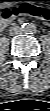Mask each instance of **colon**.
Segmentation results:
<instances>
[{
	"label": "colon",
	"instance_id": "5ec220e1",
	"mask_svg": "<svg viewBox=\"0 0 50 111\" xmlns=\"http://www.w3.org/2000/svg\"><path fill=\"white\" fill-rule=\"evenodd\" d=\"M19 16H32L46 20L50 18V12L35 5L24 4L19 7H14L10 10L4 11L2 14V20L7 21Z\"/></svg>",
	"mask_w": 50,
	"mask_h": 111
}]
</instances>
